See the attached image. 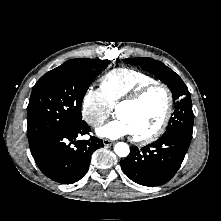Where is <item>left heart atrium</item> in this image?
<instances>
[{
  "label": "left heart atrium",
  "instance_id": "obj_1",
  "mask_svg": "<svg viewBox=\"0 0 221 221\" xmlns=\"http://www.w3.org/2000/svg\"><path fill=\"white\" fill-rule=\"evenodd\" d=\"M128 124L117 116L114 120L104 124L97 130V135L109 139H117L126 135H131Z\"/></svg>",
  "mask_w": 221,
  "mask_h": 221
}]
</instances>
